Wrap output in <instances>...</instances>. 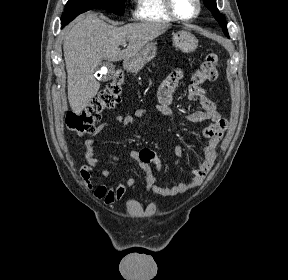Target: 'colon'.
I'll list each match as a JSON object with an SVG mask.
<instances>
[{
  "instance_id": "5ec220e1",
  "label": "colon",
  "mask_w": 288,
  "mask_h": 280,
  "mask_svg": "<svg viewBox=\"0 0 288 280\" xmlns=\"http://www.w3.org/2000/svg\"><path fill=\"white\" fill-rule=\"evenodd\" d=\"M218 70V56L214 53L209 54L194 74L193 81L197 85L214 81L218 76ZM123 81V73L118 71L113 80L87 103L83 111L79 113L69 112L66 116L68 129L78 135L93 133L96 129V123L101 118V113L119 103Z\"/></svg>"
}]
</instances>
